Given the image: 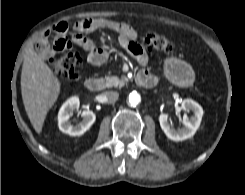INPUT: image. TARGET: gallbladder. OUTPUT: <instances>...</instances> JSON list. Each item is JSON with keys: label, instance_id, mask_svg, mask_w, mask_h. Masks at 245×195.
I'll return each instance as SVG.
<instances>
[{"label": "gallbladder", "instance_id": "1", "mask_svg": "<svg viewBox=\"0 0 245 195\" xmlns=\"http://www.w3.org/2000/svg\"><path fill=\"white\" fill-rule=\"evenodd\" d=\"M39 51L42 53L47 52V56H50V57L55 55V51L50 46L45 47L44 49L41 48Z\"/></svg>", "mask_w": 245, "mask_h": 195}]
</instances>
